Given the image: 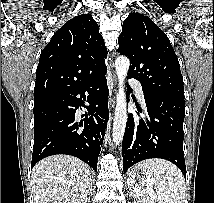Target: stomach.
<instances>
[{"label":"stomach","mask_w":214,"mask_h":203,"mask_svg":"<svg viewBox=\"0 0 214 203\" xmlns=\"http://www.w3.org/2000/svg\"><path fill=\"white\" fill-rule=\"evenodd\" d=\"M143 177L141 172L138 169H133L130 173L129 181L131 184H134L136 179L140 180Z\"/></svg>","instance_id":"1"}]
</instances>
